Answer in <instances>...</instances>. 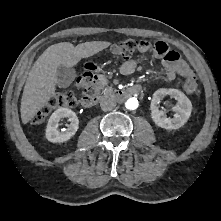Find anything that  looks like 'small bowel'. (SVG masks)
<instances>
[{
	"mask_svg": "<svg viewBox=\"0 0 221 221\" xmlns=\"http://www.w3.org/2000/svg\"><path fill=\"white\" fill-rule=\"evenodd\" d=\"M151 47L148 41H141L138 50L140 53H146ZM153 54L162 59V66L166 70L167 81H173L176 76L187 78L193 75L190 66L177 52L170 50L165 42H157L153 46ZM136 68L137 62L135 60H127L122 63L120 71L123 75H130Z\"/></svg>",
	"mask_w": 221,
	"mask_h": 221,
	"instance_id": "c3829d8e",
	"label": "small bowel"
}]
</instances>
